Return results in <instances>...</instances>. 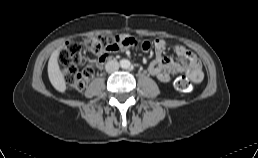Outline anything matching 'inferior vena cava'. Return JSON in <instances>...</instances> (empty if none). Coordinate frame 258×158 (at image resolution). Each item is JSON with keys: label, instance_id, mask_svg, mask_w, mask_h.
Listing matches in <instances>:
<instances>
[{"label": "inferior vena cava", "instance_id": "obj_1", "mask_svg": "<svg viewBox=\"0 0 258 158\" xmlns=\"http://www.w3.org/2000/svg\"><path fill=\"white\" fill-rule=\"evenodd\" d=\"M119 63L116 60H110L106 63L105 69L108 73L115 72L119 69Z\"/></svg>", "mask_w": 258, "mask_h": 158}]
</instances>
